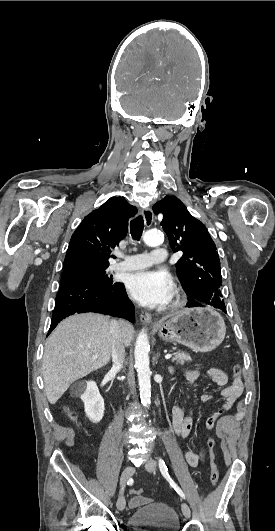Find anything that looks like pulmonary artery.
<instances>
[{
  "label": "pulmonary artery",
  "mask_w": 275,
  "mask_h": 531,
  "mask_svg": "<svg viewBox=\"0 0 275 531\" xmlns=\"http://www.w3.org/2000/svg\"><path fill=\"white\" fill-rule=\"evenodd\" d=\"M118 255L124 257L125 260L117 263L114 269L119 271H131L140 269L143 266L152 267V265L164 264L166 260L165 258L167 257V252L165 250H161L160 247L155 246L150 253V259H148V254H135L127 256L119 252Z\"/></svg>",
  "instance_id": "1"
}]
</instances>
